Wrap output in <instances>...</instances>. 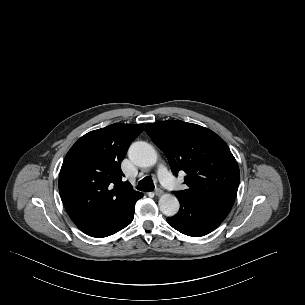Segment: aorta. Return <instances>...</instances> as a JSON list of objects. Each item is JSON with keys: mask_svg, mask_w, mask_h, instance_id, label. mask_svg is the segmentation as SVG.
Here are the masks:
<instances>
[{"mask_svg": "<svg viewBox=\"0 0 305 305\" xmlns=\"http://www.w3.org/2000/svg\"><path fill=\"white\" fill-rule=\"evenodd\" d=\"M129 159L139 167H151L157 161V153L147 142H134L128 150ZM159 209L166 216H174L179 210L178 199L171 194H164L159 199Z\"/></svg>", "mask_w": 305, "mask_h": 305, "instance_id": "762f6f07", "label": "aorta"}]
</instances>
